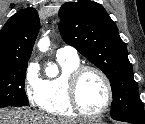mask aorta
I'll return each instance as SVG.
<instances>
[{"instance_id":"1","label":"aorta","mask_w":145,"mask_h":124,"mask_svg":"<svg viewBox=\"0 0 145 124\" xmlns=\"http://www.w3.org/2000/svg\"><path fill=\"white\" fill-rule=\"evenodd\" d=\"M50 46V40L48 36H44L41 38L38 42V48L41 52H46L48 50V47ZM46 75L48 77H56L58 75V68L57 66H49L46 68Z\"/></svg>"}]
</instances>
